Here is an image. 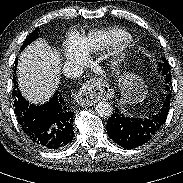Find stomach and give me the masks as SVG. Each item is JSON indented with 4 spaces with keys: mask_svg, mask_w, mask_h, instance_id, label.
I'll return each instance as SVG.
<instances>
[{
    "mask_svg": "<svg viewBox=\"0 0 183 183\" xmlns=\"http://www.w3.org/2000/svg\"><path fill=\"white\" fill-rule=\"evenodd\" d=\"M118 81L123 95V103L137 104L142 102L146 97L147 89L139 76L125 74L120 76Z\"/></svg>",
    "mask_w": 183,
    "mask_h": 183,
    "instance_id": "obj_1",
    "label": "stomach"
}]
</instances>
